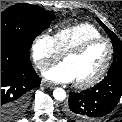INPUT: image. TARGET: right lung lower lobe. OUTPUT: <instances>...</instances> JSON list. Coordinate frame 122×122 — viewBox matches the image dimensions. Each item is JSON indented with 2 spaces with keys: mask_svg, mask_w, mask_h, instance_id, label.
I'll use <instances>...</instances> for the list:
<instances>
[{
  "mask_svg": "<svg viewBox=\"0 0 122 122\" xmlns=\"http://www.w3.org/2000/svg\"><path fill=\"white\" fill-rule=\"evenodd\" d=\"M40 79L30 62V49L1 40V122H15L28 106L30 90Z\"/></svg>",
  "mask_w": 122,
  "mask_h": 122,
  "instance_id": "right-lung-lower-lobe-1",
  "label": "right lung lower lobe"
}]
</instances>
